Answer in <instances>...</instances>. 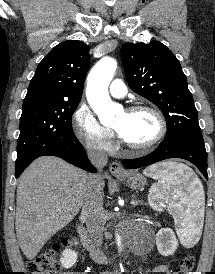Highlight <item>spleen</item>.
I'll return each mask as SVG.
<instances>
[{"instance_id": "spleen-1", "label": "spleen", "mask_w": 215, "mask_h": 274, "mask_svg": "<svg viewBox=\"0 0 215 274\" xmlns=\"http://www.w3.org/2000/svg\"><path fill=\"white\" fill-rule=\"evenodd\" d=\"M143 174L158 180L149 191V205L155 210L166 207L174 218L180 240L188 245L196 243L205 204L203 185L198 177L188 166L176 162L150 166Z\"/></svg>"}]
</instances>
